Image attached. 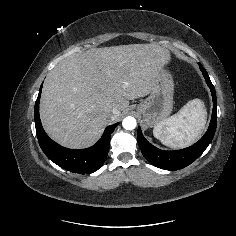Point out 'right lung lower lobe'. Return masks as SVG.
Wrapping results in <instances>:
<instances>
[{"label":"right lung lower lobe","instance_id":"obj_1","mask_svg":"<svg viewBox=\"0 0 236 236\" xmlns=\"http://www.w3.org/2000/svg\"><path fill=\"white\" fill-rule=\"evenodd\" d=\"M41 90L42 85L35 103V127L40 147L45 155L58 166L73 173L89 174L98 170L107 158L111 133L118 123L108 126L101 139L90 148L73 150L62 147L50 139L42 127L39 116Z\"/></svg>","mask_w":236,"mask_h":236}]
</instances>
